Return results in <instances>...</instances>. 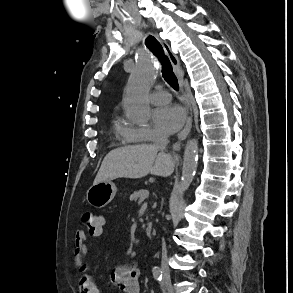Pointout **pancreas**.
I'll return each mask as SVG.
<instances>
[{
    "instance_id": "obj_1",
    "label": "pancreas",
    "mask_w": 293,
    "mask_h": 293,
    "mask_svg": "<svg viewBox=\"0 0 293 293\" xmlns=\"http://www.w3.org/2000/svg\"><path fill=\"white\" fill-rule=\"evenodd\" d=\"M147 190L141 189L138 191H135L133 194H131L130 196V200L131 201H137L141 198V196L146 192Z\"/></svg>"
}]
</instances>
